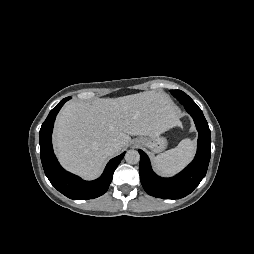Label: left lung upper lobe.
<instances>
[{"label": "left lung upper lobe", "mask_w": 254, "mask_h": 254, "mask_svg": "<svg viewBox=\"0 0 254 254\" xmlns=\"http://www.w3.org/2000/svg\"><path fill=\"white\" fill-rule=\"evenodd\" d=\"M171 94L176 97L184 106H197L195 102L183 91L171 90Z\"/></svg>", "instance_id": "left-lung-upper-lobe-1"}]
</instances>
